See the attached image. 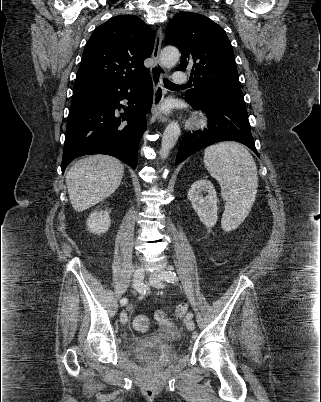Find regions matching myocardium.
Masks as SVG:
<instances>
[{"label":"myocardium","instance_id":"f54148a6","mask_svg":"<svg viewBox=\"0 0 321 402\" xmlns=\"http://www.w3.org/2000/svg\"><path fill=\"white\" fill-rule=\"evenodd\" d=\"M195 124H196V125H203V124H205V121L202 120V119H197V120L195 121Z\"/></svg>","mask_w":321,"mask_h":402}]
</instances>
